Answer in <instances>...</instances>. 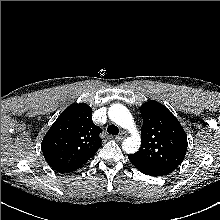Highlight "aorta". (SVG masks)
<instances>
[{"mask_svg": "<svg viewBox=\"0 0 220 220\" xmlns=\"http://www.w3.org/2000/svg\"><path fill=\"white\" fill-rule=\"evenodd\" d=\"M108 115L113 122L132 133L130 137L123 141L122 149L128 154L137 152L141 144V139L135 128L130 111L121 104H114L109 108Z\"/></svg>", "mask_w": 220, "mask_h": 220, "instance_id": "1", "label": "aorta"}]
</instances>
